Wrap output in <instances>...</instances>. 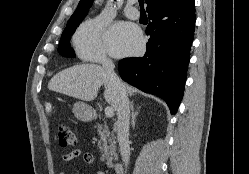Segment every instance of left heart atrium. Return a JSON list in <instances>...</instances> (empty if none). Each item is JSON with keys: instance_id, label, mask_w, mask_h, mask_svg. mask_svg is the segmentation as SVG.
Here are the masks:
<instances>
[{"instance_id": "39dd6f15", "label": "left heart atrium", "mask_w": 249, "mask_h": 174, "mask_svg": "<svg viewBox=\"0 0 249 174\" xmlns=\"http://www.w3.org/2000/svg\"><path fill=\"white\" fill-rule=\"evenodd\" d=\"M106 44L114 56L136 53L142 45L140 32L130 24L118 23L106 35Z\"/></svg>"}]
</instances>
